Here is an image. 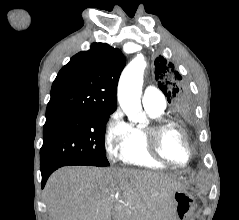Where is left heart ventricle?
Returning a JSON list of instances; mask_svg holds the SVG:
<instances>
[{"label":"left heart ventricle","instance_id":"obj_1","mask_svg":"<svg viewBox=\"0 0 239 220\" xmlns=\"http://www.w3.org/2000/svg\"><path fill=\"white\" fill-rule=\"evenodd\" d=\"M163 153L171 160L183 162L187 158V148L181 135L175 129L167 130L161 140Z\"/></svg>","mask_w":239,"mask_h":220}]
</instances>
